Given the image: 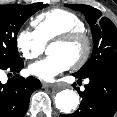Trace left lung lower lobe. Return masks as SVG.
Masks as SVG:
<instances>
[{"label": "left lung lower lobe", "instance_id": "1", "mask_svg": "<svg viewBox=\"0 0 117 117\" xmlns=\"http://www.w3.org/2000/svg\"><path fill=\"white\" fill-rule=\"evenodd\" d=\"M78 82L84 78L90 80L85 85L80 107L70 115L61 114L60 117H112L117 110V60L111 61L94 70L85 77H79Z\"/></svg>", "mask_w": 117, "mask_h": 117}]
</instances>
